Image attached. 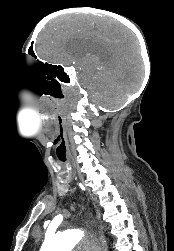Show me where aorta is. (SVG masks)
Here are the masks:
<instances>
[{
    "label": "aorta",
    "instance_id": "1",
    "mask_svg": "<svg viewBox=\"0 0 174 251\" xmlns=\"http://www.w3.org/2000/svg\"><path fill=\"white\" fill-rule=\"evenodd\" d=\"M81 240V231L67 230L46 240L40 251H71Z\"/></svg>",
    "mask_w": 174,
    "mask_h": 251
}]
</instances>
